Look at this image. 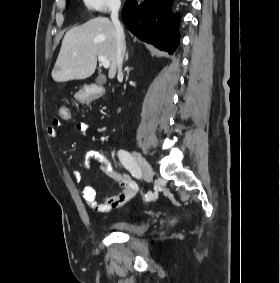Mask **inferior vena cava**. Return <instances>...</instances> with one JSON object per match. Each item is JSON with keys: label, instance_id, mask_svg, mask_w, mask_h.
Here are the masks:
<instances>
[{"label": "inferior vena cava", "instance_id": "1", "mask_svg": "<svg viewBox=\"0 0 280 283\" xmlns=\"http://www.w3.org/2000/svg\"><path fill=\"white\" fill-rule=\"evenodd\" d=\"M119 5H116L112 9L111 13V20L115 28V35L117 40V68H118V74H122V65H123V59L125 55L126 50V43H125V36L123 27L119 21L118 18V12H119Z\"/></svg>", "mask_w": 280, "mask_h": 283}]
</instances>
